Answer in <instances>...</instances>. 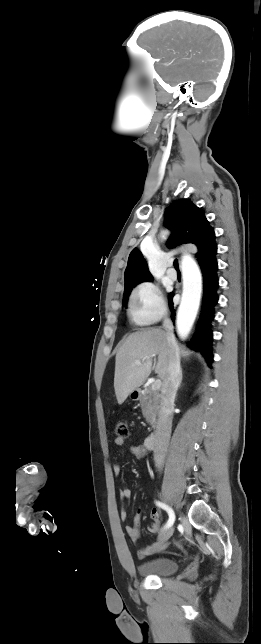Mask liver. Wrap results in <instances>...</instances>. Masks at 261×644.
<instances>
[{"mask_svg": "<svg viewBox=\"0 0 261 644\" xmlns=\"http://www.w3.org/2000/svg\"><path fill=\"white\" fill-rule=\"evenodd\" d=\"M177 349L179 354H188L178 345ZM171 352L172 345L167 340L166 332L161 329H144L129 335L115 358L114 389L118 404L121 405L131 392L144 384L155 356H158L155 372L164 381ZM136 360H140L141 364L136 365Z\"/></svg>", "mask_w": 261, "mask_h": 644, "instance_id": "liver-1", "label": "liver"}]
</instances>
